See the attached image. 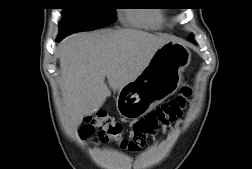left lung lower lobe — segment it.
<instances>
[{
  "label": "left lung lower lobe",
  "mask_w": 252,
  "mask_h": 169,
  "mask_svg": "<svg viewBox=\"0 0 252 169\" xmlns=\"http://www.w3.org/2000/svg\"><path fill=\"white\" fill-rule=\"evenodd\" d=\"M189 39V38H188ZM191 42L195 43L192 39H189Z\"/></svg>",
  "instance_id": "left-lung-lower-lobe-1"
}]
</instances>
